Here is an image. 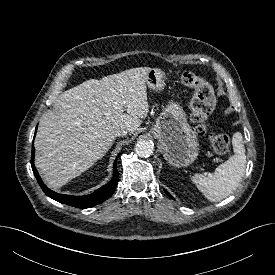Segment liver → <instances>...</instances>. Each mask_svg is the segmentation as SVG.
Segmentation results:
<instances>
[{"instance_id":"obj_1","label":"liver","mask_w":275,"mask_h":275,"mask_svg":"<svg viewBox=\"0 0 275 275\" xmlns=\"http://www.w3.org/2000/svg\"><path fill=\"white\" fill-rule=\"evenodd\" d=\"M149 67L87 80L66 90L39 122L35 165L44 182L61 187L81 175L112 146L115 133H134L149 112ZM126 112V113H125Z\"/></svg>"}]
</instances>
